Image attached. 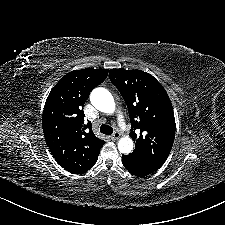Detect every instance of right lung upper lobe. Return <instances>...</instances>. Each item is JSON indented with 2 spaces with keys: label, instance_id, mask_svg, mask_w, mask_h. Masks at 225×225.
I'll list each match as a JSON object with an SVG mask.
<instances>
[{
  "label": "right lung upper lobe",
  "instance_id": "right-lung-upper-lobe-1",
  "mask_svg": "<svg viewBox=\"0 0 225 225\" xmlns=\"http://www.w3.org/2000/svg\"><path fill=\"white\" fill-rule=\"evenodd\" d=\"M108 69L74 70L63 76L52 88L44 106L42 124L44 137L57 162L69 172L80 174L97 161L104 141L93 131L84 129L83 105L90 91L102 83Z\"/></svg>",
  "mask_w": 225,
  "mask_h": 225
}]
</instances>
